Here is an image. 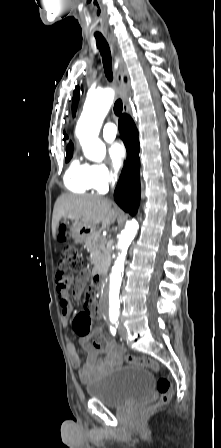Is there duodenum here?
<instances>
[{
  "label": "duodenum",
  "instance_id": "obj_1",
  "mask_svg": "<svg viewBox=\"0 0 221 448\" xmlns=\"http://www.w3.org/2000/svg\"><path fill=\"white\" fill-rule=\"evenodd\" d=\"M92 277H93L94 282L97 285H99V286L103 285V283H104V275H103L102 272H94Z\"/></svg>",
  "mask_w": 221,
  "mask_h": 448
}]
</instances>
